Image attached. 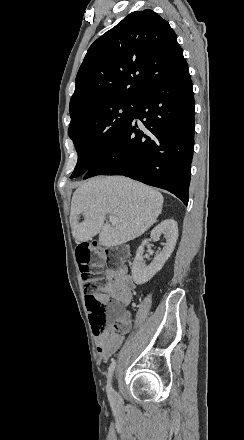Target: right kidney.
Here are the masks:
<instances>
[{"label": "right kidney", "mask_w": 244, "mask_h": 440, "mask_svg": "<svg viewBox=\"0 0 244 440\" xmlns=\"http://www.w3.org/2000/svg\"><path fill=\"white\" fill-rule=\"evenodd\" d=\"M161 234H164L166 244H163L164 248L162 252L157 254L150 266H146L145 260H143L144 246L149 244L150 240H143L141 246H139L135 260L132 266V278L135 284H146L149 282L161 268H163L166 260L170 258L175 244L178 238V226L175 220H163L161 224H158L154 230L151 232V240H157Z\"/></svg>", "instance_id": "obj_1"}]
</instances>
